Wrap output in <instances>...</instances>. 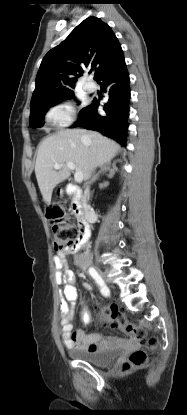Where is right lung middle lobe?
I'll use <instances>...</instances> for the list:
<instances>
[{"label": "right lung middle lobe", "instance_id": "dd1d6c3e", "mask_svg": "<svg viewBox=\"0 0 187 415\" xmlns=\"http://www.w3.org/2000/svg\"><path fill=\"white\" fill-rule=\"evenodd\" d=\"M69 97L73 96V92L68 94ZM56 104V103H55ZM55 104L43 105L30 112L29 124L32 128L42 127L44 125V115L46 111Z\"/></svg>", "mask_w": 187, "mask_h": 415}]
</instances>
